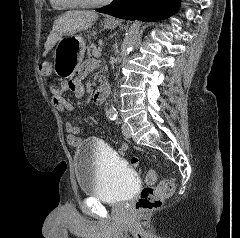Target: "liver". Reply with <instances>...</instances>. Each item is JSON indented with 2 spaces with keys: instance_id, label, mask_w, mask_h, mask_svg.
<instances>
[{
  "instance_id": "1",
  "label": "liver",
  "mask_w": 240,
  "mask_h": 238,
  "mask_svg": "<svg viewBox=\"0 0 240 238\" xmlns=\"http://www.w3.org/2000/svg\"><path fill=\"white\" fill-rule=\"evenodd\" d=\"M97 18V13L93 11H67L58 16L45 43L43 56L47 55L61 37L87 30Z\"/></svg>"
}]
</instances>
